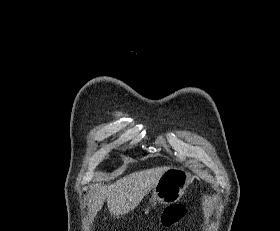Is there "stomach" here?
<instances>
[{
    "mask_svg": "<svg viewBox=\"0 0 280 231\" xmlns=\"http://www.w3.org/2000/svg\"><path fill=\"white\" fill-rule=\"evenodd\" d=\"M190 183L191 177L188 171H185L182 167H170L161 175L155 187H153L152 205H156L157 201H160V203L179 201Z\"/></svg>",
    "mask_w": 280,
    "mask_h": 231,
    "instance_id": "obj_1",
    "label": "stomach"
}]
</instances>
